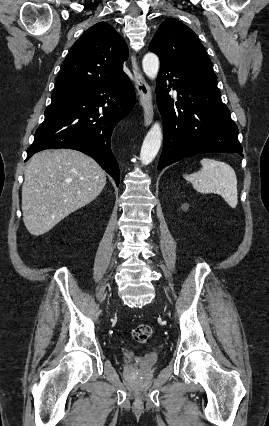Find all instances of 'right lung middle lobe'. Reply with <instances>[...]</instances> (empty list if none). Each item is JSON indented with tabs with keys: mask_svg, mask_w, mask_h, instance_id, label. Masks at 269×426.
<instances>
[{
	"mask_svg": "<svg viewBox=\"0 0 269 426\" xmlns=\"http://www.w3.org/2000/svg\"><path fill=\"white\" fill-rule=\"evenodd\" d=\"M74 92H52L51 95V105H55L57 103H60L64 100H67L69 97H71L73 95Z\"/></svg>",
	"mask_w": 269,
	"mask_h": 426,
	"instance_id": "1",
	"label": "right lung middle lobe"
}]
</instances>
